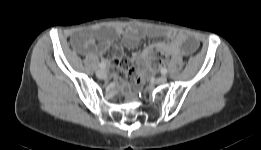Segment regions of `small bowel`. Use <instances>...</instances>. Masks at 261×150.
<instances>
[{
  "label": "small bowel",
  "mask_w": 261,
  "mask_h": 150,
  "mask_svg": "<svg viewBox=\"0 0 261 150\" xmlns=\"http://www.w3.org/2000/svg\"><path fill=\"white\" fill-rule=\"evenodd\" d=\"M121 35H123L122 43L128 49L136 48L144 37L167 39L169 42L162 44L161 47L172 57H177L180 54H189L197 47V42L194 39L174 30L156 26H131L127 30L115 27L112 30H103L98 33L88 29L79 30L72 35L71 41L83 53L93 54L94 52H99L106 59L111 60L117 77L124 78L128 73L133 78H138L140 76L139 69L144 65L147 50L136 56L134 61L129 63L122 56L120 50H109L113 38ZM96 39H98V43H96Z\"/></svg>",
  "instance_id": "small-bowel-1"
}]
</instances>
